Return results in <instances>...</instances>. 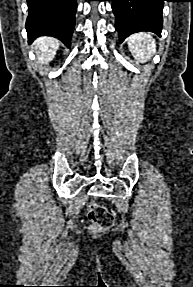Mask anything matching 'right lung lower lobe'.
<instances>
[{"label": "right lung lower lobe", "instance_id": "obj_1", "mask_svg": "<svg viewBox=\"0 0 193 287\" xmlns=\"http://www.w3.org/2000/svg\"><path fill=\"white\" fill-rule=\"evenodd\" d=\"M26 30L31 43L39 36H53L70 47L75 26L76 0H27Z\"/></svg>", "mask_w": 193, "mask_h": 287}]
</instances>
